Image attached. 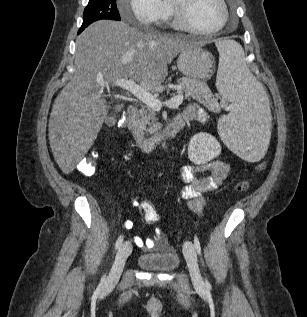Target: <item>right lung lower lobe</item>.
Listing matches in <instances>:
<instances>
[{
  "mask_svg": "<svg viewBox=\"0 0 307 317\" xmlns=\"http://www.w3.org/2000/svg\"><path fill=\"white\" fill-rule=\"evenodd\" d=\"M82 31V29L80 28L79 33Z\"/></svg>",
  "mask_w": 307,
  "mask_h": 317,
  "instance_id": "right-lung-lower-lobe-1",
  "label": "right lung lower lobe"
}]
</instances>
